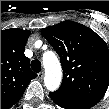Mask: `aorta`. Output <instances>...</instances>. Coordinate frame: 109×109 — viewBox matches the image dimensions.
Masks as SVG:
<instances>
[{"label":"aorta","mask_w":109,"mask_h":109,"mask_svg":"<svg viewBox=\"0 0 109 109\" xmlns=\"http://www.w3.org/2000/svg\"><path fill=\"white\" fill-rule=\"evenodd\" d=\"M43 66L45 68L44 84L49 91H56L62 79L61 64L52 51L43 54Z\"/></svg>","instance_id":"aorta-1"}]
</instances>
